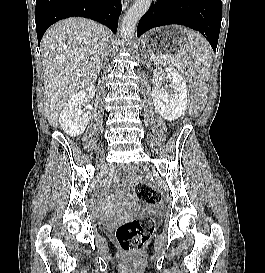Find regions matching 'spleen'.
<instances>
[{"label": "spleen", "instance_id": "obj_1", "mask_svg": "<svg viewBox=\"0 0 265 273\" xmlns=\"http://www.w3.org/2000/svg\"><path fill=\"white\" fill-rule=\"evenodd\" d=\"M181 33L186 34L189 41V48L195 61L199 77L202 81H208L212 65L211 48L208 42L198 33L180 28Z\"/></svg>", "mask_w": 265, "mask_h": 273}]
</instances>
